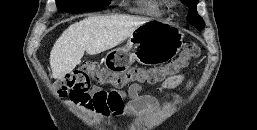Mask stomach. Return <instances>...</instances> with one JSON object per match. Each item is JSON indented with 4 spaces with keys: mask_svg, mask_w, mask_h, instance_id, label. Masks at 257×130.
<instances>
[{
    "mask_svg": "<svg viewBox=\"0 0 257 130\" xmlns=\"http://www.w3.org/2000/svg\"><path fill=\"white\" fill-rule=\"evenodd\" d=\"M183 37L176 26L150 20L136 28L125 47L108 52L105 60L109 67L118 63L125 67L134 60L144 65L167 62L180 51Z\"/></svg>",
    "mask_w": 257,
    "mask_h": 130,
    "instance_id": "0dacf381",
    "label": "stomach"
}]
</instances>
